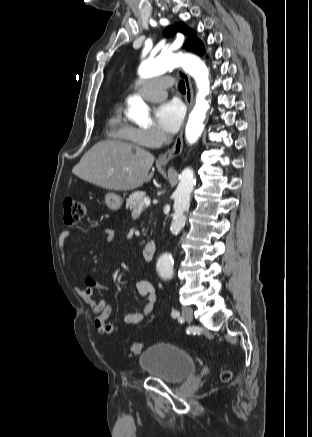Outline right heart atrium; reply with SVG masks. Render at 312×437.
I'll return each mask as SVG.
<instances>
[{
  "mask_svg": "<svg viewBox=\"0 0 312 437\" xmlns=\"http://www.w3.org/2000/svg\"><path fill=\"white\" fill-rule=\"evenodd\" d=\"M135 138L141 145L154 147L160 145L164 140L163 134L157 129H133Z\"/></svg>",
  "mask_w": 312,
  "mask_h": 437,
  "instance_id": "1",
  "label": "right heart atrium"
}]
</instances>
